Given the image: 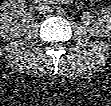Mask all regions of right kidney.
Returning <instances> with one entry per match:
<instances>
[{
	"mask_svg": "<svg viewBox=\"0 0 111 106\" xmlns=\"http://www.w3.org/2000/svg\"><path fill=\"white\" fill-rule=\"evenodd\" d=\"M25 8L26 3L23 0H10L2 3L0 7V34L2 38H17L26 32L30 22H32L30 16H25L21 20H13L14 18L16 19L19 11Z\"/></svg>",
	"mask_w": 111,
	"mask_h": 106,
	"instance_id": "1",
	"label": "right kidney"
}]
</instances>
